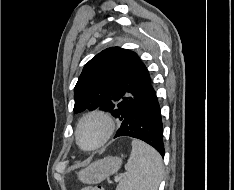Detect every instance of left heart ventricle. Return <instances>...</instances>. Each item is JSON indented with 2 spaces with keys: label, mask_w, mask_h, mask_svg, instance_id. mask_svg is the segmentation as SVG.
<instances>
[{
  "label": "left heart ventricle",
  "mask_w": 234,
  "mask_h": 190,
  "mask_svg": "<svg viewBox=\"0 0 234 190\" xmlns=\"http://www.w3.org/2000/svg\"><path fill=\"white\" fill-rule=\"evenodd\" d=\"M103 134V127L97 121L87 123L80 134V139L83 145L91 146L99 141Z\"/></svg>",
  "instance_id": "1"
}]
</instances>
